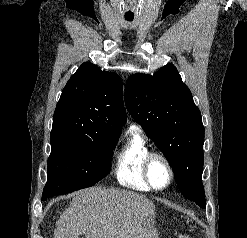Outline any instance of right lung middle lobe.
Segmentation results:
<instances>
[{
	"instance_id": "dd1d6c3e",
	"label": "right lung middle lobe",
	"mask_w": 247,
	"mask_h": 238,
	"mask_svg": "<svg viewBox=\"0 0 247 238\" xmlns=\"http://www.w3.org/2000/svg\"><path fill=\"white\" fill-rule=\"evenodd\" d=\"M47 183L42 198L71 193L100 181L111 168L118 139L72 133L50 137Z\"/></svg>"
}]
</instances>
